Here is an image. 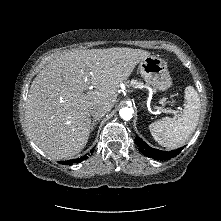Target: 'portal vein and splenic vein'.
Here are the masks:
<instances>
[{
    "mask_svg": "<svg viewBox=\"0 0 221 221\" xmlns=\"http://www.w3.org/2000/svg\"><path fill=\"white\" fill-rule=\"evenodd\" d=\"M89 74H91V72H89ZM87 78H88V75L86 73V79H85V82H87ZM87 88L90 89L89 86H87ZM155 109H157L158 111H161V112H164V113H172L175 115V117H177V114H178V111L176 110H172V109H166V108H163V107H155Z\"/></svg>",
    "mask_w": 221,
    "mask_h": 221,
    "instance_id": "portal-vein-and-splenic-vein-1",
    "label": "portal vein and splenic vein"
}]
</instances>
